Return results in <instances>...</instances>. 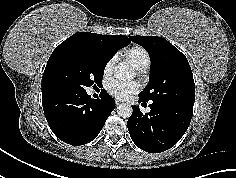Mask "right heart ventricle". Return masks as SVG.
Masks as SVG:
<instances>
[{
	"instance_id": "1",
	"label": "right heart ventricle",
	"mask_w": 236,
	"mask_h": 178,
	"mask_svg": "<svg viewBox=\"0 0 236 178\" xmlns=\"http://www.w3.org/2000/svg\"><path fill=\"white\" fill-rule=\"evenodd\" d=\"M124 56L137 69H145L151 63V58L146 49L141 46H132L124 52Z\"/></svg>"
}]
</instances>
